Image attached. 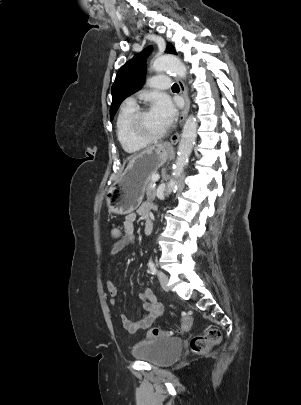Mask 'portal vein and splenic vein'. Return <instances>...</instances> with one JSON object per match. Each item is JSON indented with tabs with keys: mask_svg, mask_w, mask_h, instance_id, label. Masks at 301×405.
Instances as JSON below:
<instances>
[{
	"mask_svg": "<svg viewBox=\"0 0 301 405\" xmlns=\"http://www.w3.org/2000/svg\"><path fill=\"white\" fill-rule=\"evenodd\" d=\"M159 175H153L152 176V181H154V182H156V181H158L159 180Z\"/></svg>",
	"mask_w": 301,
	"mask_h": 405,
	"instance_id": "portal-vein-and-splenic-vein-1",
	"label": "portal vein and splenic vein"
}]
</instances>
